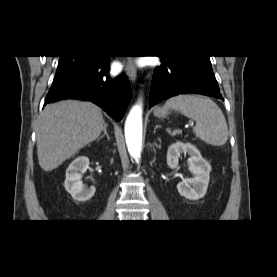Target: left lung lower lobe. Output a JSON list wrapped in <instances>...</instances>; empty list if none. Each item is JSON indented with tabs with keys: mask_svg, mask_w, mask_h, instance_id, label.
I'll use <instances>...</instances> for the list:
<instances>
[{
	"mask_svg": "<svg viewBox=\"0 0 277 277\" xmlns=\"http://www.w3.org/2000/svg\"><path fill=\"white\" fill-rule=\"evenodd\" d=\"M153 73L150 107L179 94H202L220 98L218 83L209 57L190 55L161 56Z\"/></svg>",
	"mask_w": 277,
	"mask_h": 277,
	"instance_id": "1",
	"label": "left lung lower lobe"
}]
</instances>
